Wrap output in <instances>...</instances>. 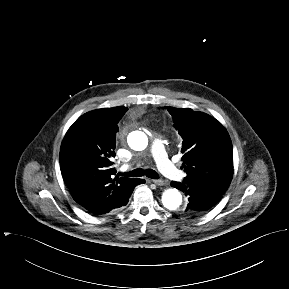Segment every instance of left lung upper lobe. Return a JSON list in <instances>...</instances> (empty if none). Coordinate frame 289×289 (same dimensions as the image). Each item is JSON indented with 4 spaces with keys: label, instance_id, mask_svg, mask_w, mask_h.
I'll return each mask as SVG.
<instances>
[{
    "label": "left lung upper lobe",
    "instance_id": "5c2ea615",
    "mask_svg": "<svg viewBox=\"0 0 289 289\" xmlns=\"http://www.w3.org/2000/svg\"><path fill=\"white\" fill-rule=\"evenodd\" d=\"M168 112L183 139L182 165L187 172L183 183L222 195L233 176V149L228 132L206 113L174 107H168Z\"/></svg>",
    "mask_w": 289,
    "mask_h": 289
}]
</instances>
